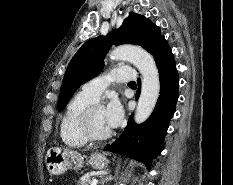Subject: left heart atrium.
Segmentation results:
<instances>
[{
  "instance_id": "left-heart-atrium-1",
  "label": "left heart atrium",
  "mask_w": 233,
  "mask_h": 185,
  "mask_svg": "<svg viewBox=\"0 0 233 185\" xmlns=\"http://www.w3.org/2000/svg\"><path fill=\"white\" fill-rule=\"evenodd\" d=\"M104 113L111 129L118 126L123 118V108L117 99H112L104 107Z\"/></svg>"
}]
</instances>
